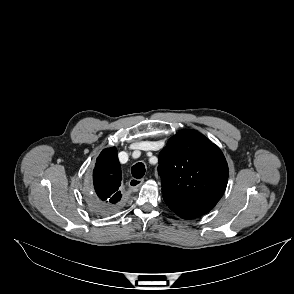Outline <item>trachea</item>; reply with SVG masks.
Here are the masks:
<instances>
[{
  "label": "trachea",
  "mask_w": 294,
  "mask_h": 294,
  "mask_svg": "<svg viewBox=\"0 0 294 294\" xmlns=\"http://www.w3.org/2000/svg\"><path fill=\"white\" fill-rule=\"evenodd\" d=\"M131 173L134 178L140 179L145 174V166L143 163L139 162L132 166Z\"/></svg>",
  "instance_id": "obj_1"
}]
</instances>
